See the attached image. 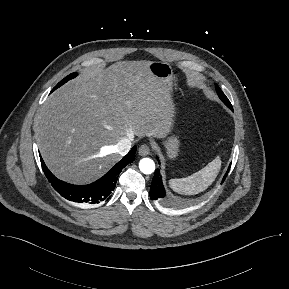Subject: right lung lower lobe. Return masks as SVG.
<instances>
[{"instance_id":"1","label":"right lung lower lobe","mask_w":289,"mask_h":289,"mask_svg":"<svg viewBox=\"0 0 289 289\" xmlns=\"http://www.w3.org/2000/svg\"><path fill=\"white\" fill-rule=\"evenodd\" d=\"M136 146L102 178L88 185H72L57 179L41 159L43 171L53 188L65 199L76 203L96 204L105 200L114 190L122 169L134 161Z\"/></svg>"}]
</instances>
